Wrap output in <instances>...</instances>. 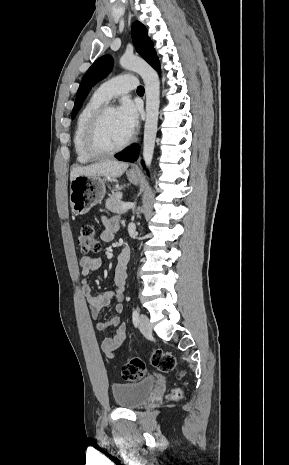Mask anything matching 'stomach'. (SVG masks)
Here are the masks:
<instances>
[{
  "mask_svg": "<svg viewBox=\"0 0 289 465\" xmlns=\"http://www.w3.org/2000/svg\"><path fill=\"white\" fill-rule=\"evenodd\" d=\"M128 180L137 184L140 181L138 173H127ZM108 178L101 176H77L70 183V206L77 215H84L89 210L101 203L103 200L106 187L105 182Z\"/></svg>",
  "mask_w": 289,
  "mask_h": 465,
  "instance_id": "stomach-1",
  "label": "stomach"
}]
</instances>
